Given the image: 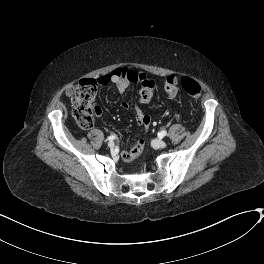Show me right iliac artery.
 Returning a JSON list of instances; mask_svg holds the SVG:
<instances>
[{"instance_id": "82829eb1", "label": "right iliac artery", "mask_w": 264, "mask_h": 264, "mask_svg": "<svg viewBox=\"0 0 264 264\" xmlns=\"http://www.w3.org/2000/svg\"><path fill=\"white\" fill-rule=\"evenodd\" d=\"M115 138H116V136H115V135H112V136H109V137L107 138V140L112 141V140H114Z\"/></svg>"}]
</instances>
